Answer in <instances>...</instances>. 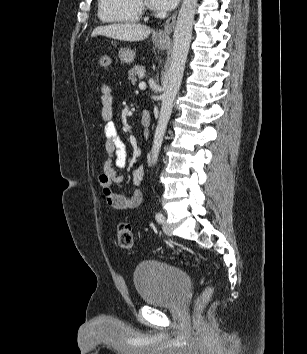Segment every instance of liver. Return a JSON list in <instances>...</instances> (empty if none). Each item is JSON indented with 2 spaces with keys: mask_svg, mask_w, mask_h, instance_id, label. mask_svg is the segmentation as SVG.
Listing matches in <instances>:
<instances>
[{
  "mask_svg": "<svg viewBox=\"0 0 307 354\" xmlns=\"http://www.w3.org/2000/svg\"><path fill=\"white\" fill-rule=\"evenodd\" d=\"M150 32V28L145 25L136 23H116L96 27L92 32V37L102 35L120 41L134 42L145 40Z\"/></svg>",
  "mask_w": 307,
  "mask_h": 354,
  "instance_id": "liver-1",
  "label": "liver"
}]
</instances>
